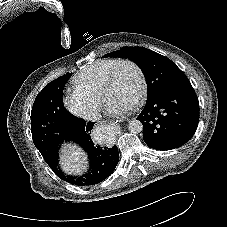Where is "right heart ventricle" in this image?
Segmentation results:
<instances>
[{
    "label": "right heart ventricle",
    "instance_id": "e07e8e85",
    "mask_svg": "<svg viewBox=\"0 0 227 227\" xmlns=\"http://www.w3.org/2000/svg\"><path fill=\"white\" fill-rule=\"evenodd\" d=\"M119 61L117 58H108L92 63L72 79L73 87L91 96L100 97L108 74Z\"/></svg>",
    "mask_w": 227,
    "mask_h": 227
}]
</instances>
